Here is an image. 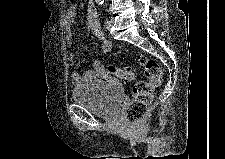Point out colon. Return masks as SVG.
Wrapping results in <instances>:
<instances>
[{
	"label": "colon",
	"mask_w": 225,
	"mask_h": 159,
	"mask_svg": "<svg viewBox=\"0 0 225 159\" xmlns=\"http://www.w3.org/2000/svg\"><path fill=\"white\" fill-rule=\"evenodd\" d=\"M139 64L148 81H138L133 86V100L125 111V121L132 126H139L148 114L154 88L160 83L163 73L161 66L153 59L139 57ZM107 72L110 76L124 81H133L136 77L132 69L112 64L108 66Z\"/></svg>",
	"instance_id": "obj_1"
}]
</instances>
